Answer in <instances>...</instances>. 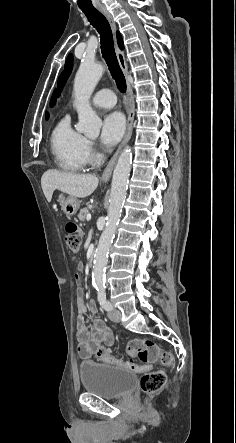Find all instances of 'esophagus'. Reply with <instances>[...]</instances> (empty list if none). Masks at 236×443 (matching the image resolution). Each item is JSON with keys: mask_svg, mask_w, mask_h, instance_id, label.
<instances>
[{"mask_svg": "<svg viewBox=\"0 0 236 443\" xmlns=\"http://www.w3.org/2000/svg\"><path fill=\"white\" fill-rule=\"evenodd\" d=\"M98 10L106 17V19L108 20V22H109V24H110V26L112 28L113 33H115L116 32V24H115V21H114L112 15L110 14V12L104 6L99 7ZM115 49H116V55H117V59H118L119 65H120L122 71L124 72V74L128 75V67H127L125 55H124L123 51L118 47L117 44H116ZM127 89H128L129 95L132 97V89H131V86H130L129 83L127 84ZM134 114H135V107H134V103L132 102L131 109H130L129 114H128L127 131H126L125 137H124L122 143L120 144V146L118 147V149L116 150L115 154L113 155V157L109 161L108 165L106 166V168H105V170H104V172L102 174V180L104 182L109 180V178H110V176L112 174L114 165L116 163L117 157H118L122 147L131 138Z\"/></svg>", "mask_w": 236, "mask_h": 443, "instance_id": "esophagus-1", "label": "esophagus"}]
</instances>
